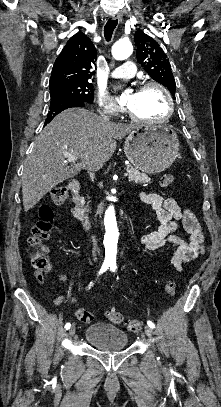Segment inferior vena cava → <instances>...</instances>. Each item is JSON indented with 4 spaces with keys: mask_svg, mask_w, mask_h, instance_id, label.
<instances>
[{
    "mask_svg": "<svg viewBox=\"0 0 221 407\" xmlns=\"http://www.w3.org/2000/svg\"><path fill=\"white\" fill-rule=\"evenodd\" d=\"M101 118L104 122H110V118L107 115H105V112L101 113Z\"/></svg>",
    "mask_w": 221,
    "mask_h": 407,
    "instance_id": "1",
    "label": "inferior vena cava"
}]
</instances>
